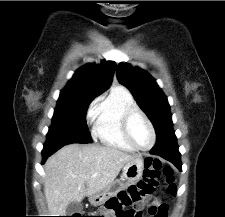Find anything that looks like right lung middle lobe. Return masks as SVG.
I'll use <instances>...</instances> for the list:
<instances>
[{
	"label": "right lung middle lobe",
	"mask_w": 225,
	"mask_h": 217,
	"mask_svg": "<svg viewBox=\"0 0 225 217\" xmlns=\"http://www.w3.org/2000/svg\"><path fill=\"white\" fill-rule=\"evenodd\" d=\"M93 96H60L47 134V145L90 143L86 111Z\"/></svg>",
	"instance_id": "right-lung-middle-lobe-1"
}]
</instances>
